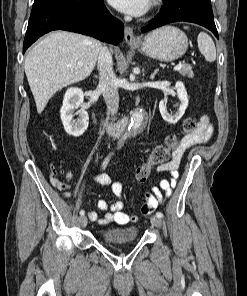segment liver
<instances>
[{
    "instance_id": "1",
    "label": "liver",
    "mask_w": 247,
    "mask_h": 296,
    "mask_svg": "<svg viewBox=\"0 0 247 296\" xmlns=\"http://www.w3.org/2000/svg\"><path fill=\"white\" fill-rule=\"evenodd\" d=\"M101 48L91 37L54 31L29 51L25 73L39 114L58 90L91 74Z\"/></svg>"
}]
</instances>
